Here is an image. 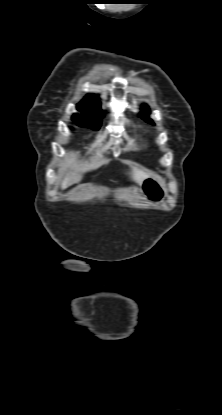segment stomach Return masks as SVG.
<instances>
[{
  "mask_svg": "<svg viewBox=\"0 0 222 415\" xmlns=\"http://www.w3.org/2000/svg\"><path fill=\"white\" fill-rule=\"evenodd\" d=\"M141 187L145 197L153 203L164 201L168 194L164 181L157 175L146 177Z\"/></svg>",
  "mask_w": 222,
  "mask_h": 415,
  "instance_id": "1",
  "label": "stomach"
}]
</instances>
